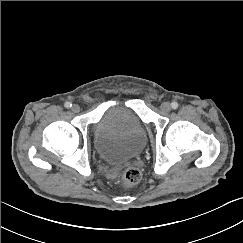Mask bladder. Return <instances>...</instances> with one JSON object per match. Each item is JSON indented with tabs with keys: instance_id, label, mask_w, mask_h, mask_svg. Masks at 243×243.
<instances>
[{
	"instance_id": "obj_1",
	"label": "bladder",
	"mask_w": 243,
	"mask_h": 243,
	"mask_svg": "<svg viewBox=\"0 0 243 243\" xmlns=\"http://www.w3.org/2000/svg\"><path fill=\"white\" fill-rule=\"evenodd\" d=\"M145 127L137 113L125 103H106L94 129L98 155L111 163L137 156L146 146Z\"/></svg>"
}]
</instances>
